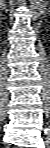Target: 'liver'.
<instances>
[{
  "label": "liver",
  "instance_id": "6515ba94",
  "mask_svg": "<svg viewBox=\"0 0 50 148\" xmlns=\"http://www.w3.org/2000/svg\"><path fill=\"white\" fill-rule=\"evenodd\" d=\"M4 0H1V5H3Z\"/></svg>",
  "mask_w": 50,
  "mask_h": 148
}]
</instances>
